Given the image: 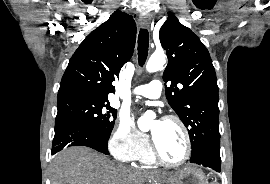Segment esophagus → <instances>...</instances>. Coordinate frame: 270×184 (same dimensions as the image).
I'll list each match as a JSON object with an SVG mask.
<instances>
[{"instance_id":"34e87169","label":"esophagus","mask_w":270,"mask_h":184,"mask_svg":"<svg viewBox=\"0 0 270 184\" xmlns=\"http://www.w3.org/2000/svg\"><path fill=\"white\" fill-rule=\"evenodd\" d=\"M151 19L149 16H140L139 17V24L143 28H148L150 26Z\"/></svg>"}]
</instances>
